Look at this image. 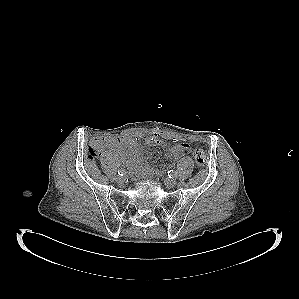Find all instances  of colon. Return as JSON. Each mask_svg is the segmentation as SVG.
Masks as SVG:
<instances>
[{
    "label": "colon",
    "instance_id": "colon-1",
    "mask_svg": "<svg viewBox=\"0 0 299 299\" xmlns=\"http://www.w3.org/2000/svg\"><path fill=\"white\" fill-rule=\"evenodd\" d=\"M107 140L104 138H95L92 140L90 147H89V155L92 158H96L98 157L102 150L104 149V147L106 146ZM193 158L195 160L196 165L199 168H202L205 166L206 164V154L205 152L200 149V148H196L193 151Z\"/></svg>",
    "mask_w": 299,
    "mask_h": 299
}]
</instances>
